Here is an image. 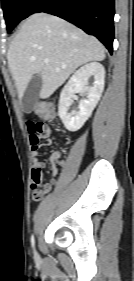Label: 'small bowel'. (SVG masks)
Wrapping results in <instances>:
<instances>
[{
	"mask_svg": "<svg viewBox=\"0 0 134 281\" xmlns=\"http://www.w3.org/2000/svg\"><path fill=\"white\" fill-rule=\"evenodd\" d=\"M27 129L30 137L31 152L33 158V166L31 170L32 184H37L39 192L32 194L33 199L40 200L46 193L52 188V182L43 183V170L45 163L39 160V150L41 147L51 145L50 127L44 122L27 121ZM51 164V177H55L58 172V165H63V161L60 160V154L54 152L50 157ZM31 184V185H32Z\"/></svg>",
	"mask_w": 134,
	"mask_h": 281,
	"instance_id": "c3829d8e",
	"label": "small bowel"
}]
</instances>
